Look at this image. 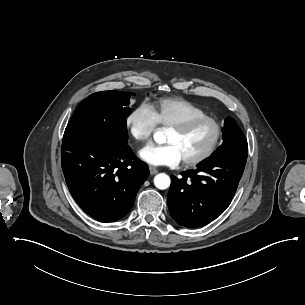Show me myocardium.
I'll use <instances>...</instances> for the list:
<instances>
[{"label": "myocardium", "mask_w": 305, "mask_h": 305, "mask_svg": "<svg viewBox=\"0 0 305 305\" xmlns=\"http://www.w3.org/2000/svg\"><path fill=\"white\" fill-rule=\"evenodd\" d=\"M202 122H213L217 127V136L213 144L204 151L201 155L198 157L192 158V159H184L183 162L186 167H193L200 165L204 162H206L208 159H210L214 153L219 149V147L222 144L224 133H225V125L224 122L212 115H204V116H197L188 118L185 120H182L180 122L171 124L168 128L175 130V131H186L192 128L193 126L200 124Z\"/></svg>", "instance_id": "f54148a6"}]
</instances>
